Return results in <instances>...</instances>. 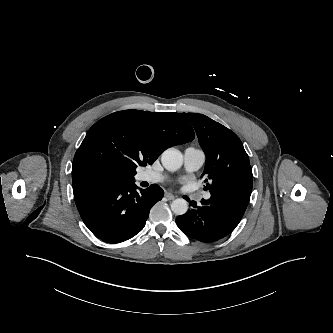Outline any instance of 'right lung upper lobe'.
I'll return each instance as SVG.
<instances>
[{"instance_id": "right-lung-upper-lobe-1", "label": "right lung upper lobe", "mask_w": 333, "mask_h": 333, "mask_svg": "<svg viewBox=\"0 0 333 333\" xmlns=\"http://www.w3.org/2000/svg\"><path fill=\"white\" fill-rule=\"evenodd\" d=\"M193 139L191 125L178 113H112L89 129L76 151L73 184L85 179L132 183L138 166L152 164L168 147Z\"/></svg>"}]
</instances>
